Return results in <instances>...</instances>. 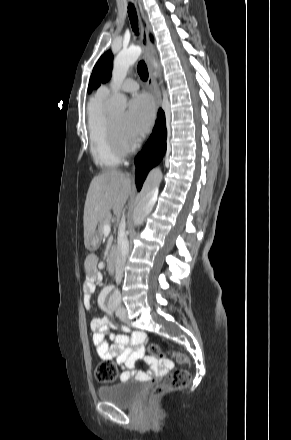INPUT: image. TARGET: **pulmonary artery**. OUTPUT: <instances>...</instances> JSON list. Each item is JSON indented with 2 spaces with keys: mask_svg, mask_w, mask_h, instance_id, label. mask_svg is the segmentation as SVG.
Listing matches in <instances>:
<instances>
[{
  "mask_svg": "<svg viewBox=\"0 0 291 440\" xmlns=\"http://www.w3.org/2000/svg\"><path fill=\"white\" fill-rule=\"evenodd\" d=\"M138 88H139L138 82L131 77L127 78L120 86V89L124 92H135L136 90H138ZM99 92L104 96L109 95L110 93L109 86L107 85L101 86L99 88Z\"/></svg>",
  "mask_w": 291,
  "mask_h": 440,
  "instance_id": "obj_1",
  "label": "pulmonary artery"
}]
</instances>
